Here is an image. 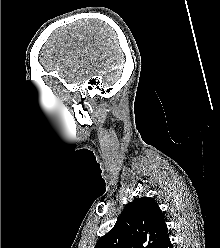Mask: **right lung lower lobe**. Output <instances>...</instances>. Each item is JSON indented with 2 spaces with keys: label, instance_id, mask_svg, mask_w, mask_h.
<instances>
[{
  "label": "right lung lower lobe",
  "instance_id": "right-lung-lower-lobe-1",
  "mask_svg": "<svg viewBox=\"0 0 220 248\" xmlns=\"http://www.w3.org/2000/svg\"><path fill=\"white\" fill-rule=\"evenodd\" d=\"M159 248H172L169 237H167L164 242L159 246Z\"/></svg>",
  "mask_w": 220,
  "mask_h": 248
}]
</instances>
